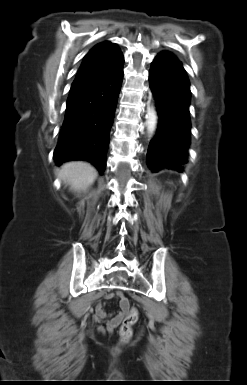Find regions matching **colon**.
Returning a JSON list of instances; mask_svg holds the SVG:
<instances>
[{
  "label": "colon",
  "mask_w": 247,
  "mask_h": 385,
  "mask_svg": "<svg viewBox=\"0 0 247 385\" xmlns=\"http://www.w3.org/2000/svg\"><path fill=\"white\" fill-rule=\"evenodd\" d=\"M125 317L119 327V335L122 342H128L132 337V328L139 318V311L135 306L127 305L125 307Z\"/></svg>",
  "instance_id": "1"
}]
</instances>
